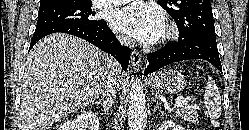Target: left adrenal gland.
I'll return each mask as SVG.
<instances>
[{
	"label": "left adrenal gland",
	"mask_w": 249,
	"mask_h": 130,
	"mask_svg": "<svg viewBox=\"0 0 249 130\" xmlns=\"http://www.w3.org/2000/svg\"><path fill=\"white\" fill-rule=\"evenodd\" d=\"M153 100L156 102V105H155V107H154V109H153V114H154V113L156 112V110L161 111V109L159 108V103H158V101L156 100V98H154Z\"/></svg>",
	"instance_id": "obj_1"
}]
</instances>
